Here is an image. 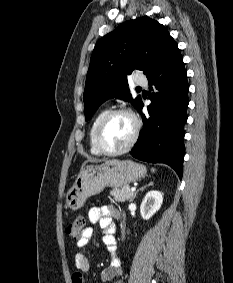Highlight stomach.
<instances>
[{
    "mask_svg": "<svg viewBox=\"0 0 233 283\" xmlns=\"http://www.w3.org/2000/svg\"><path fill=\"white\" fill-rule=\"evenodd\" d=\"M146 167L131 160H108L100 165L84 166L73 186L66 193L65 206L80 209L87 198L97 195L105 187L120 188L146 175Z\"/></svg>",
    "mask_w": 233,
    "mask_h": 283,
    "instance_id": "stomach-1",
    "label": "stomach"
}]
</instances>
